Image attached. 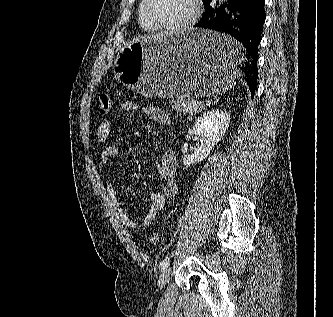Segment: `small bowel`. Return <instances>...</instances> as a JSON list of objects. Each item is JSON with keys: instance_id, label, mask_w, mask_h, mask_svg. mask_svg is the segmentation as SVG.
Listing matches in <instances>:
<instances>
[{"instance_id": "c3829d8e", "label": "small bowel", "mask_w": 333, "mask_h": 317, "mask_svg": "<svg viewBox=\"0 0 333 317\" xmlns=\"http://www.w3.org/2000/svg\"><path fill=\"white\" fill-rule=\"evenodd\" d=\"M122 109L127 112H134L139 109V105L134 101H125L121 105ZM143 113L152 121L159 124H169L170 118L163 110L154 107L146 106L142 109ZM112 125L109 120L102 121L96 130V139L100 143H107L111 134ZM119 153V148L114 144H108L100 155L102 164H108L110 160L116 157ZM176 158L174 152L166 150L156 167L157 173L163 181L161 192H151L149 195L150 206L147 214L139 221L131 218L122 207L118 198V193L112 183L106 182L105 187L107 194L116 210V213L127 229L145 230L151 226L158 213L165 207L167 200L176 196L178 186L176 183Z\"/></svg>"}]
</instances>
